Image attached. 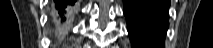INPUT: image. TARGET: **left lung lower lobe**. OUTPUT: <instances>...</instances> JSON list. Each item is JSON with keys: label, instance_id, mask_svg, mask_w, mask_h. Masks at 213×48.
I'll return each instance as SVG.
<instances>
[{"label": "left lung lower lobe", "instance_id": "obj_1", "mask_svg": "<svg viewBox=\"0 0 213 48\" xmlns=\"http://www.w3.org/2000/svg\"><path fill=\"white\" fill-rule=\"evenodd\" d=\"M169 0H124L132 48H164Z\"/></svg>", "mask_w": 213, "mask_h": 48}]
</instances>
